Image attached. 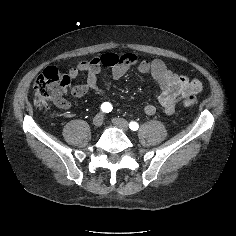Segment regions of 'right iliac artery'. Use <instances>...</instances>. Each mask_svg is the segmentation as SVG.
<instances>
[{
    "label": "right iliac artery",
    "mask_w": 236,
    "mask_h": 236,
    "mask_svg": "<svg viewBox=\"0 0 236 236\" xmlns=\"http://www.w3.org/2000/svg\"><path fill=\"white\" fill-rule=\"evenodd\" d=\"M112 109H113V107H112V105L109 102H104L101 105V111L104 112V113L111 112Z\"/></svg>",
    "instance_id": "obj_1"
}]
</instances>
